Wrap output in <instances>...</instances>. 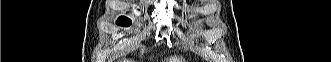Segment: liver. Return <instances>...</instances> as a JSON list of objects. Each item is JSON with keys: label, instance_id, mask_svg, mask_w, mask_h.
<instances>
[{"label": "liver", "instance_id": "obj_1", "mask_svg": "<svg viewBox=\"0 0 331 62\" xmlns=\"http://www.w3.org/2000/svg\"><path fill=\"white\" fill-rule=\"evenodd\" d=\"M181 60V61H180ZM182 60H184V59H182V58H177V57H174V58H170L169 59V62H184V61H182ZM123 62H132V61H129V60H127V61H123ZM134 62V61H133Z\"/></svg>", "mask_w": 331, "mask_h": 62}]
</instances>
